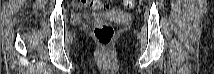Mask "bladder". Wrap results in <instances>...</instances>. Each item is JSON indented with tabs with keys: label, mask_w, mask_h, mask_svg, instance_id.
<instances>
[{
	"label": "bladder",
	"mask_w": 214,
	"mask_h": 74,
	"mask_svg": "<svg viewBox=\"0 0 214 74\" xmlns=\"http://www.w3.org/2000/svg\"><path fill=\"white\" fill-rule=\"evenodd\" d=\"M75 17H76L77 19H80V18H81V15H78V14H77Z\"/></svg>",
	"instance_id": "bladder-1"
}]
</instances>
